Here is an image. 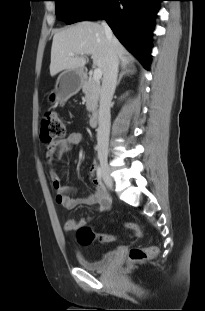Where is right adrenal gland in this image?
<instances>
[{"label":"right adrenal gland","instance_id":"right-adrenal-gland-1","mask_svg":"<svg viewBox=\"0 0 205 311\" xmlns=\"http://www.w3.org/2000/svg\"><path fill=\"white\" fill-rule=\"evenodd\" d=\"M134 71H135V69L133 68V69H131V67L129 66H127V65H122V71L120 72V74H119V77H118V80H117V86L120 84V81H121V79H122V77L124 76V75H126V74H133L134 73Z\"/></svg>","mask_w":205,"mask_h":311}]
</instances>
